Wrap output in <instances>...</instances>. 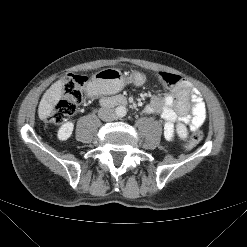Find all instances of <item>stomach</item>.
Segmentation results:
<instances>
[{"instance_id": "0dacf381", "label": "stomach", "mask_w": 247, "mask_h": 247, "mask_svg": "<svg viewBox=\"0 0 247 247\" xmlns=\"http://www.w3.org/2000/svg\"><path fill=\"white\" fill-rule=\"evenodd\" d=\"M128 81L139 86L145 82V77L141 73L135 72L128 80L118 70L104 69L92 77L90 86L98 93H108L121 89Z\"/></svg>"}]
</instances>
